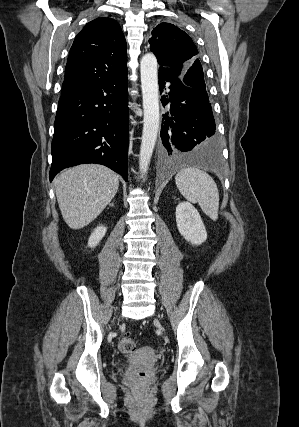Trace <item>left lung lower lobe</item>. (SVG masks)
<instances>
[{
    "mask_svg": "<svg viewBox=\"0 0 299 427\" xmlns=\"http://www.w3.org/2000/svg\"><path fill=\"white\" fill-rule=\"evenodd\" d=\"M182 70V66L159 68L160 93L165 81L171 82L170 92L161 98L163 106L169 104L160 132L162 160L216 170L221 164L220 146L208 94L187 86L181 77Z\"/></svg>",
    "mask_w": 299,
    "mask_h": 427,
    "instance_id": "obj_1",
    "label": "left lung lower lobe"
}]
</instances>
